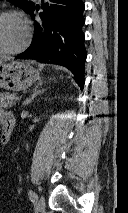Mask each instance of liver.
Listing matches in <instances>:
<instances>
[{
  "mask_svg": "<svg viewBox=\"0 0 128 213\" xmlns=\"http://www.w3.org/2000/svg\"><path fill=\"white\" fill-rule=\"evenodd\" d=\"M0 63H3V61H2V60H0Z\"/></svg>",
  "mask_w": 128,
  "mask_h": 213,
  "instance_id": "1",
  "label": "liver"
}]
</instances>
